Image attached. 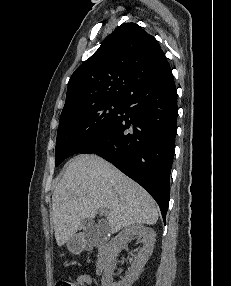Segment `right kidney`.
<instances>
[{
  "label": "right kidney",
  "instance_id": "ca27d5eb",
  "mask_svg": "<svg viewBox=\"0 0 231 286\" xmlns=\"http://www.w3.org/2000/svg\"><path fill=\"white\" fill-rule=\"evenodd\" d=\"M138 237L143 243V247L134 257V261L129 273L119 282L113 280V274L117 265V256L123 247L133 238ZM156 240V233L150 227L143 225H132L122 230L110 242V252L107 264L102 276V286H132L142 273L145 264L151 256Z\"/></svg>",
  "mask_w": 231,
  "mask_h": 286
}]
</instances>
